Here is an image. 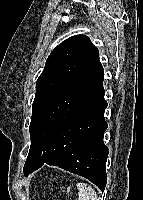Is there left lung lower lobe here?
<instances>
[{"instance_id":"obj_1","label":"left lung lower lobe","mask_w":143,"mask_h":200,"mask_svg":"<svg viewBox=\"0 0 143 200\" xmlns=\"http://www.w3.org/2000/svg\"><path fill=\"white\" fill-rule=\"evenodd\" d=\"M103 80L98 54L38 113L31 129L30 158L23 169L26 176L46 163L105 189L108 148L103 136L108 125Z\"/></svg>"}]
</instances>
